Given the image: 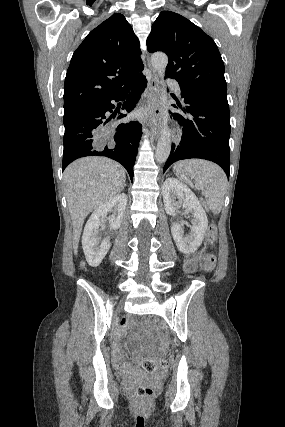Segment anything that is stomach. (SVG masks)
Returning <instances> with one entry per match:
<instances>
[{
  "instance_id": "0dacf381",
  "label": "stomach",
  "mask_w": 285,
  "mask_h": 427,
  "mask_svg": "<svg viewBox=\"0 0 285 427\" xmlns=\"http://www.w3.org/2000/svg\"><path fill=\"white\" fill-rule=\"evenodd\" d=\"M178 177L184 181H188L190 178L192 179L191 175L187 171H182L181 173H178Z\"/></svg>"
}]
</instances>
